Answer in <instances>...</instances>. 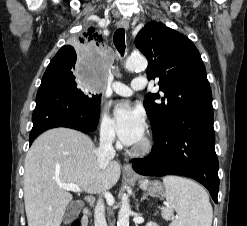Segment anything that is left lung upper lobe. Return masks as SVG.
<instances>
[{
  "label": "left lung upper lobe",
  "mask_w": 247,
  "mask_h": 226,
  "mask_svg": "<svg viewBox=\"0 0 247 226\" xmlns=\"http://www.w3.org/2000/svg\"><path fill=\"white\" fill-rule=\"evenodd\" d=\"M135 44L148 59V79L159 78V89L164 93H149L143 102L153 130L192 107L212 105L206 70L190 39L152 21L139 31Z\"/></svg>",
  "instance_id": "1"
}]
</instances>
